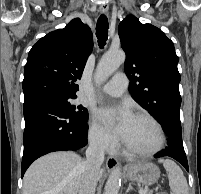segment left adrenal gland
I'll use <instances>...</instances> for the list:
<instances>
[{
  "mask_svg": "<svg viewBox=\"0 0 201 194\" xmlns=\"http://www.w3.org/2000/svg\"><path fill=\"white\" fill-rule=\"evenodd\" d=\"M131 190H133V187L131 186V184H129L128 189L126 190V193H128Z\"/></svg>",
  "mask_w": 201,
  "mask_h": 194,
  "instance_id": "obj_1",
  "label": "left adrenal gland"
}]
</instances>
